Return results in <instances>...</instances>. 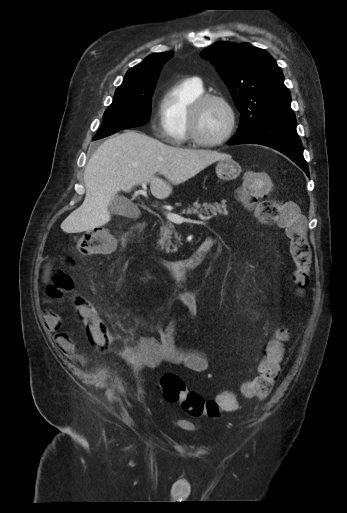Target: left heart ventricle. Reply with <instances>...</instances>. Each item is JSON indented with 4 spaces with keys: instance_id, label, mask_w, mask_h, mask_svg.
I'll return each instance as SVG.
<instances>
[{
    "instance_id": "obj_1",
    "label": "left heart ventricle",
    "mask_w": 347,
    "mask_h": 513,
    "mask_svg": "<svg viewBox=\"0 0 347 513\" xmlns=\"http://www.w3.org/2000/svg\"><path fill=\"white\" fill-rule=\"evenodd\" d=\"M229 114L226 108L215 101L207 103L201 110L198 121V132L207 140L220 138L227 130Z\"/></svg>"
}]
</instances>
